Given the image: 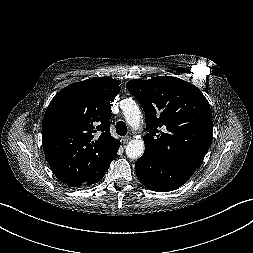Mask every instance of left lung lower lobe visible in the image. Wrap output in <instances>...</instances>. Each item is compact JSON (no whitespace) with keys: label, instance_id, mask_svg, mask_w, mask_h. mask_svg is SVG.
<instances>
[{"label":"left lung lower lobe","instance_id":"left-lung-lower-lobe-1","mask_svg":"<svg viewBox=\"0 0 253 253\" xmlns=\"http://www.w3.org/2000/svg\"><path fill=\"white\" fill-rule=\"evenodd\" d=\"M140 182L157 192H167L182 186L198 168L195 165L169 166L145 152L135 163Z\"/></svg>","mask_w":253,"mask_h":253}]
</instances>
